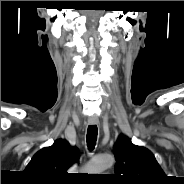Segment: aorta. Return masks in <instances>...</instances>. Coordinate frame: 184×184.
<instances>
[{"label": "aorta", "instance_id": "1", "mask_svg": "<svg viewBox=\"0 0 184 184\" xmlns=\"http://www.w3.org/2000/svg\"><path fill=\"white\" fill-rule=\"evenodd\" d=\"M113 162L114 158L110 154L98 156L90 162L88 166V172L90 174H100L108 167H110L113 164Z\"/></svg>", "mask_w": 184, "mask_h": 184}]
</instances>
